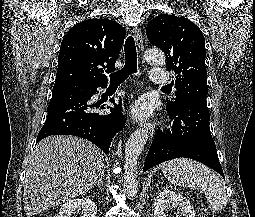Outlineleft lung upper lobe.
<instances>
[{
  "mask_svg": "<svg viewBox=\"0 0 255 217\" xmlns=\"http://www.w3.org/2000/svg\"><path fill=\"white\" fill-rule=\"evenodd\" d=\"M146 34L165 53L167 69L176 75V97L167 99V109L176 110L189 102L207 107L205 39L199 27L184 17L161 14L153 18Z\"/></svg>",
  "mask_w": 255,
  "mask_h": 217,
  "instance_id": "left-lung-upper-lobe-1",
  "label": "left lung upper lobe"
}]
</instances>
